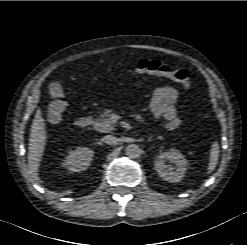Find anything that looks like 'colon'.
I'll list each match as a JSON object with an SVG mask.
<instances>
[{
	"mask_svg": "<svg viewBox=\"0 0 247 245\" xmlns=\"http://www.w3.org/2000/svg\"><path fill=\"white\" fill-rule=\"evenodd\" d=\"M130 71L138 75L163 76L179 83L184 89L190 87V72L187 69H174L157 59H140L131 66ZM49 93L52 101L47 110V118L50 122L57 123L61 120L66 107L65 92L60 84L53 83L50 86ZM182 124V119L179 116H175L167 121V128L176 130Z\"/></svg>",
	"mask_w": 247,
	"mask_h": 245,
	"instance_id": "1",
	"label": "colon"
}]
</instances>
